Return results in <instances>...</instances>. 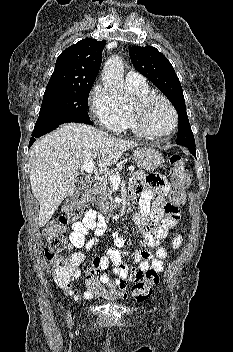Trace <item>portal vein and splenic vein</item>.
<instances>
[{"instance_id":"portal-vein-and-splenic-vein-1","label":"portal vein and splenic vein","mask_w":233,"mask_h":352,"mask_svg":"<svg viewBox=\"0 0 233 352\" xmlns=\"http://www.w3.org/2000/svg\"><path fill=\"white\" fill-rule=\"evenodd\" d=\"M95 166V162L93 160L87 161L82 165V169L86 171L87 173H92L93 168ZM109 180L112 183V185H119L121 182V176L120 175H110Z\"/></svg>"}]
</instances>
